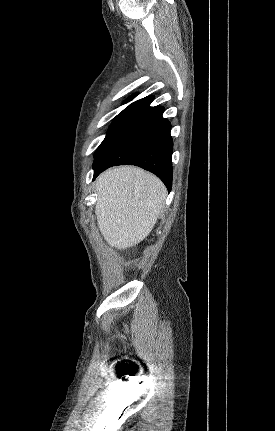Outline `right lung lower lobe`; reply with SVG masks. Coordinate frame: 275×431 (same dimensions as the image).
<instances>
[{
	"mask_svg": "<svg viewBox=\"0 0 275 431\" xmlns=\"http://www.w3.org/2000/svg\"><path fill=\"white\" fill-rule=\"evenodd\" d=\"M163 112L162 106L137 112L95 158L93 180L111 166L136 165L157 175L170 191L173 142Z\"/></svg>",
	"mask_w": 275,
	"mask_h": 431,
	"instance_id": "right-lung-lower-lobe-1",
	"label": "right lung lower lobe"
}]
</instances>
